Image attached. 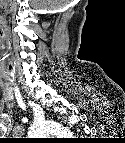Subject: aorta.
<instances>
[{
  "mask_svg": "<svg viewBox=\"0 0 125 143\" xmlns=\"http://www.w3.org/2000/svg\"><path fill=\"white\" fill-rule=\"evenodd\" d=\"M30 134L33 136L45 137L50 134L56 135H69L70 132L67 128L54 121H43L35 123L30 130Z\"/></svg>",
  "mask_w": 125,
  "mask_h": 143,
  "instance_id": "obj_1",
  "label": "aorta"
}]
</instances>
